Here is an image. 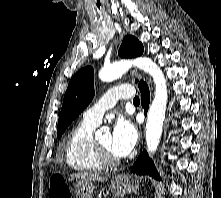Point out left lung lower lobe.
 Masks as SVG:
<instances>
[{
  "label": "left lung lower lobe",
  "instance_id": "left-lung-lower-lobe-1",
  "mask_svg": "<svg viewBox=\"0 0 221 198\" xmlns=\"http://www.w3.org/2000/svg\"><path fill=\"white\" fill-rule=\"evenodd\" d=\"M139 88L141 91L142 107L144 108V112L146 114L150 102L149 88L145 82H143L139 86ZM131 172L136 173L137 175H150L156 179H160V177L158 176V172L154 166V163L149 158L145 150L137 158L135 164L131 168Z\"/></svg>",
  "mask_w": 221,
  "mask_h": 198
}]
</instances>
